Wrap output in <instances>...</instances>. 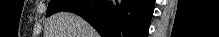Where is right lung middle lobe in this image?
I'll return each instance as SVG.
<instances>
[{
  "instance_id": "obj_1",
  "label": "right lung middle lobe",
  "mask_w": 219,
  "mask_h": 37,
  "mask_svg": "<svg viewBox=\"0 0 219 37\" xmlns=\"http://www.w3.org/2000/svg\"><path fill=\"white\" fill-rule=\"evenodd\" d=\"M73 2L75 0H51L46 16L49 17L50 15L63 11L67 5Z\"/></svg>"
}]
</instances>
